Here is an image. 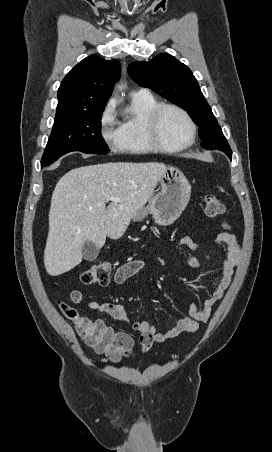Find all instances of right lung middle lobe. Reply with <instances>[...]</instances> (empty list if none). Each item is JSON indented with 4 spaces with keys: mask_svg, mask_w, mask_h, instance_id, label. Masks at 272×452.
<instances>
[{
    "mask_svg": "<svg viewBox=\"0 0 272 452\" xmlns=\"http://www.w3.org/2000/svg\"><path fill=\"white\" fill-rule=\"evenodd\" d=\"M104 110L56 116L41 166L55 162L62 155L80 151L87 154H107L108 146L101 135V115Z\"/></svg>",
    "mask_w": 272,
    "mask_h": 452,
    "instance_id": "obj_1",
    "label": "right lung middle lobe"
}]
</instances>
